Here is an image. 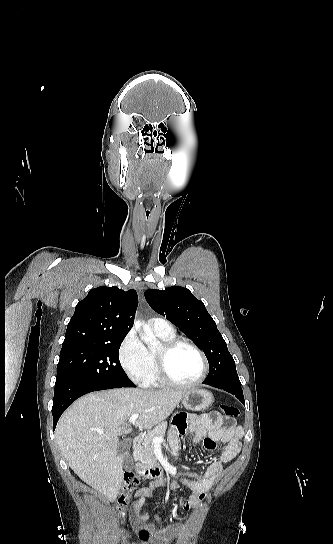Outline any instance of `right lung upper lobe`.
Masks as SVG:
<instances>
[{"mask_svg":"<svg viewBox=\"0 0 333 544\" xmlns=\"http://www.w3.org/2000/svg\"><path fill=\"white\" fill-rule=\"evenodd\" d=\"M137 305L135 290L115 286L91 289L75 308L62 348L125 337L133 325Z\"/></svg>","mask_w":333,"mask_h":544,"instance_id":"1","label":"right lung upper lobe"}]
</instances>
